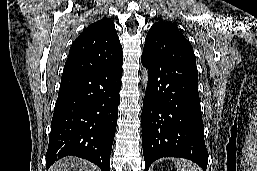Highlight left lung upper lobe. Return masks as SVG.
Listing matches in <instances>:
<instances>
[{
	"mask_svg": "<svg viewBox=\"0 0 257 171\" xmlns=\"http://www.w3.org/2000/svg\"><path fill=\"white\" fill-rule=\"evenodd\" d=\"M143 52L152 56L167 53L197 68L190 42L173 24L168 22L159 21L149 29Z\"/></svg>",
	"mask_w": 257,
	"mask_h": 171,
	"instance_id": "obj_1",
	"label": "left lung upper lobe"
}]
</instances>
